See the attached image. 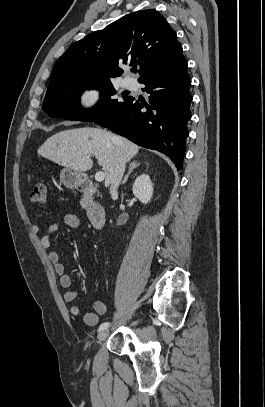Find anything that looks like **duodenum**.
Returning <instances> with one entry per match:
<instances>
[{
    "mask_svg": "<svg viewBox=\"0 0 265 407\" xmlns=\"http://www.w3.org/2000/svg\"><path fill=\"white\" fill-rule=\"evenodd\" d=\"M78 188L85 193L86 211L91 224L95 229L103 228L106 223V211L93 199L96 193V186L91 180L84 179L79 183Z\"/></svg>",
    "mask_w": 265,
    "mask_h": 407,
    "instance_id": "duodenum-1",
    "label": "duodenum"
}]
</instances>
